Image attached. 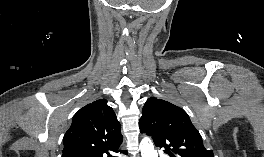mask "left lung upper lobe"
Segmentation results:
<instances>
[{
    "instance_id": "5c2ea615",
    "label": "left lung upper lobe",
    "mask_w": 264,
    "mask_h": 157,
    "mask_svg": "<svg viewBox=\"0 0 264 157\" xmlns=\"http://www.w3.org/2000/svg\"><path fill=\"white\" fill-rule=\"evenodd\" d=\"M139 127L170 157H214L188 114L165 100L152 97L146 101Z\"/></svg>"
}]
</instances>
